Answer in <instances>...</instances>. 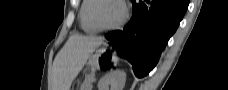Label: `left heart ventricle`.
I'll list each match as a JSON object with an SVG mask.
<instances>
[{
	"instance_id": "b2bd125f",
	"label": "left heart ventricle",
	"mask_w": 228,
	"mask_h": 90,
	"mask_svg": "<svg viewBox=\"0 0 228 90\" xmlns=\"http://www.w3.org/2000/svg\"><path fill=\"white\" fill-rule=\"evenodd\" d=\"M122 13L123 11L120 4L112 1H106L100 4L97 16L102 24L110 26L120 20Z\"/></svg>"
}]
</instances>
